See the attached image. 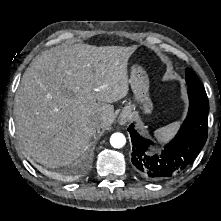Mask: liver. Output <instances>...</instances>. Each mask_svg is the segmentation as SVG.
I'll return each mask as SVG.
<instances>
[{"label": "liver", "instance_id": "obj_1", "mask_svg": "<svg viewBox=\"0 0 221 221\" xmlns=\"http://www.w3.org/2000/svg\"><path fill=\"white\" fill-rule=\"evenodd\" d=\"M137 46L75 44L45 51L25 71L15 95L16 134L24 154L56 168L77 160L114 119L113 102L128 94L127 65Z\"/></svg>", "mask_w": 221, "mask_h": 221}]
</instances>
